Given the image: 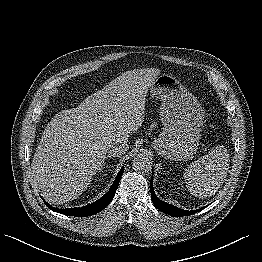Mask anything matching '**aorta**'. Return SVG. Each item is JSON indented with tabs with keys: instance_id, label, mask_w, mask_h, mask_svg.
<instances>
[{
	"instance_id": "obj_1",
	"label": "aorta",
	"mask_w": 262,
	"mask_h": 262,
	"mask_svg": "<svg viewBox=\"0 0 262 262\" xmlns=\"http://www.w3.org/2000/svg\"><path fill=\"white\" fill-rule=\"evenodd\" d=\"M151 166L150 159L143 154L137 155L133 160V168L138 172H148Z\"/></svg>"
}]
</instances>
